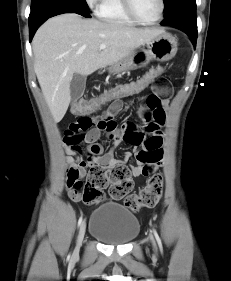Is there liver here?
I'll return each instance as SVG.
<instances>
[{"instance_id": "1", "label": "liver", "mask_w": 231, "mask_h": 281, "mask_svg": "<svg viewBox=\"0 0 231 281\" xmlns=\"http://www.w3.org/2000/svg\"><path fill=\"white\" fill-rule=\"evenodd\" d=\"M162 33L163 29L83 19L75 13L48 19L34 36L33 54L34 70L54 121L60 122L69 107L75 73L87 76L113 65ZM101 44L106 48L100 50Z\"/></svg>"}]
</instances>
